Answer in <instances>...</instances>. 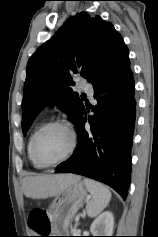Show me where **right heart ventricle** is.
I'll list each match as a JSON object with an SVG mask.
<instances>
[{
	"label": "right heart ventricle",
	"mask_w": 158,
	"mask_h": 237,
	"mask_svg": "<svg viewBox=\"0 0 158 237\" xmlns=\"http://www.w3.org/2000/svg\"><path fill=\"white\" fill-rule=\"evenodd\" d=\"M40 127V124L36 125V127L33 129V131L31 132L30 136H29V139H28V144H27V152H28V157H29V160L31 161V163L33 164V166L35 168H38V169H42L44 168L43 166L37 164L33 157H32V154H31V145H32V139H33V136L35 135L36 131L39 129Z\"/></svg>",
	"instance_id": "obj_1"
}]
</instances>
